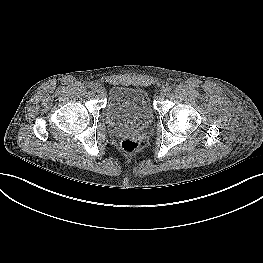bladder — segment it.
<instances>
[{
	"instance_id": "bladder-1",
	"label": "bladder",
	"mask_w": 263,
	"mask_h": 263,
	"mask_svg": "<svg viewBox=\"0 0 263 263\" xmlns=\"http://www.w3.org/2000/svg\"><path fill=\"white\" fill-rule=\"evenodd\" d=\"M106 116L117 129L142 130L153 120V108L146 91L139 88L112 86L108 93Z\"/></svg>"
}]
</instances>
